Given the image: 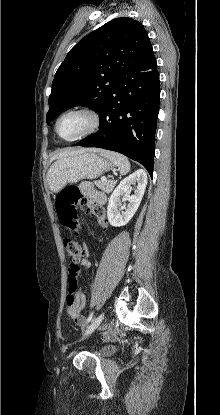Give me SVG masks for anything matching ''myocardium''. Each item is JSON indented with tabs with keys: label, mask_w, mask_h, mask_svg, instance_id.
<instances>
[{
	"label": "myocardium",
	"mask_w": 220,
	"mask_h": 415,
	"mask_svg": "<svg viewBox=\"0 0 220 415\" xmlns=\"http://www.w3.org/2000/svg\"><path fill=\"white\" fill-rule=\"evenodd\" d=\"M74 113H80V114H84L88 116L90 119V125L86 131H84L83 133H81L80 135L74 138H70V139L62 138L58 133V125L65 116L69 114H74ZM100 126H101V117L95 109L88 107V106H77V107H73V108H70L64 111L58 116L54 124V131L60 139L66 142H75V141L84 139L96 133L99 130Z\"/></svg>",
	"instance_id": "obj_1"
}]
</instances>
